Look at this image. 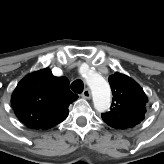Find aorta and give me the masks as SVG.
Listing matches in <instances>:
<instances>
[{
    "label": "aorta",
    "mask_w": 164,
    "mask_h": 164,
    "mask_svg": "<svg viewBox=\"0 0 164 164\" xmlns=\"http://www.w3.org/2000/svg\"><path fill=\"white\" fill-rule=\"evenodd\" d=\"M93 101L96 107L106 109L111 100V94L108 84L103 79H92L90 81Z\"/></svg>",
    "instance_id": "1"
}]
</instances>
